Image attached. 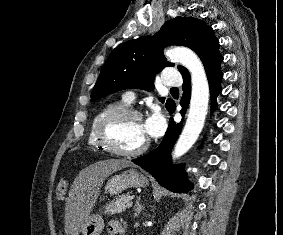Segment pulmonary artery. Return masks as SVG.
I'll use <instances>...</instances> for the list:
<instances>
[{
  "mask_svg": "<svg viewBox=\"0 0 283 235\" xmlns=\"http://www.w3.org/2000/svg\"><path fill=\"white\" fill-rule=\"evenodd\" d=\"M163 83L169 87H176L181 84V76L176 70H169L165 73L163 78ZM135 93L131 90L126 91L124 94V100L128 103H131L135 100Z\"/></svg>",
  "mask_w": 283,
  "mask_h": 235,
  "instance_id": "1",
  "label": "pulmonary artery"
}]
</instances>
